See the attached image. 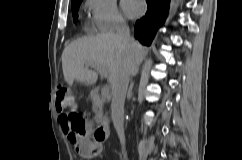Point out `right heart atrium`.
Masks as SVG:
<instances>
[{
  "instance_id": "1",
  "label": "right heart atrium",
  "mask_w": 242,
  "mask_h": 160,
  "mask_svg": "<svg viewBox=\"0 0 242 160\" xmlns=\"http://www.w3.org/2000/svg\"><path fill=\"white\" fill-rule=\"evenodd\" d=\"M91 26L96 32H111L126 25L116 0H87Z\"/></svg>"
}]
</instances>
